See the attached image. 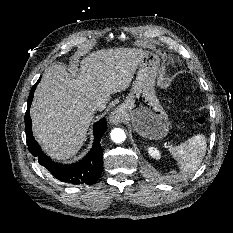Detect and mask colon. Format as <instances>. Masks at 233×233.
<instances>
[{
  "instance_id": "1",
  "label": "colon",
  "mask_w": 233,
  "mask_h": 233,
  "mask_svg": "<svg viewBox=\"0 0 233 233\" xmlns=\"http://www.w3.org/2000/svg\"><path fill=\"white\" fill-rule=\"evenodd\" d=\"M196 122L201 127L205 126V124H206V120H205V118L203 116H198L196 118Z\"/></svg>"
}]
</instances>
